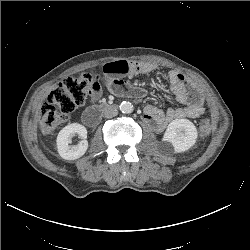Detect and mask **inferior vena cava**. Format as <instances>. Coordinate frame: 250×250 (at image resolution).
Returning a JSON list of instances; mask_svg holds the SVG:
<instances>
[{
	"label": "inferior vena cava",
	"mask_w": 250,
	"mask_h": 250,
	"mask_svg": "<svg viewBox=\"0 0 250 250\" xmlns=\"http://www.w3.org/2000/svg\"><path fill=\"white\" fill-rule=\"evenodd\" d=\"M117 114H118V110L114 106H109L104 111V115L107 118L115 117V116H117Z\"/></svg>",
	"instance_id": "602c4592"
}]
</instances>
